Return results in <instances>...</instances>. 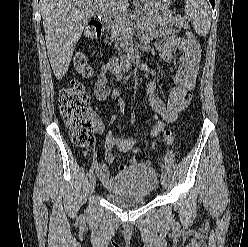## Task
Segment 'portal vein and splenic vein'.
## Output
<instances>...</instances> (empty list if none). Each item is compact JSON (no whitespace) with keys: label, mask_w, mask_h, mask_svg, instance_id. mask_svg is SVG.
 <instances>
[{"label":"portal vein and splenic vein","mask_w":248,"mask_h":247,"mask_svg":"<svg viewBox=\"0 0 248 247\" xmlns=\"http://www.w3.org/2000/svg\"><path fill=\"white\" fill-rule=\"evenodd\" d=\"M103 12H108L110 15H112V16H118V15H120V14H118V13H115V12H113V11H111V10H107V9H103L102 10Z\"/></svg>","instance_id":"1"}]
</instances>
